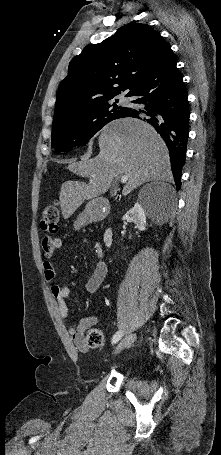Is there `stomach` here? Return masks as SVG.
I'll return each instance as SVG.
<instances>
[{"instance_id":"0dacf381","label":"stomach","mask_w":221,"mask_h":455,"mask_svg":"<svg viewBox=\"0 0 221 455\" xmlns=\"http://www.w3.org/2000/svg\"><path fill=\"white\" fill-rule=\"evenodd\" d=\"M98 200H93L89 202L84 211L79 214L77 220L74 222V227L76 230L80 229L82 226L88 224L89 222L95 220L99 214V208L97 207Z\"/></svg>"}]
</instances>
